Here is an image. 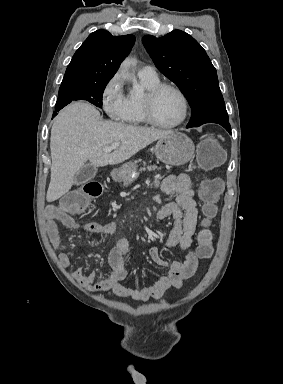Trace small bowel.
Returning a JSON list of instances; mask_svg holds the SVG:
<instances>
[{
    "mask_svg": "<svg viewBox=\"0 0 283 384\" xmlns=\"http://www.w3.org/2000/svg\"><path fill=\"white\" fill-rule=\"evenodd\" d=\"M157 186L166 194H176V201L165 203L158 210L156 217L158 220L170 216L174 219V226L163 245L170 248L179 247L185 254L184 259L167 262L161 257L159 247H152L149 250L151 259L156 264L166 267L167 274L151 285L141 288L127 286L123 281L128 274L126 256L129 242L126 237L121 236L109 254L111 273L108 277L98 280L95 271L89 274H85L82 268L74 271L73 278L82 287L95 293H107L110 296L147 301L151 298H160L170 288H180L185 280L194 275L199 257L192 248V236L196 230L198 217L194 199V182L187 174H170L158 180ZM45 218L48 237L64 267H69L71 261L69 255L62 249L59 224L70 229L101 236L118 233V226L113 222L78 224L66 210L57 206H48Z\"/></svg>",
    "mask_w": 283,
    "mask_h": 384,
    "instance_id": "1",
    "label": "small bowel"
}]
</instances>
